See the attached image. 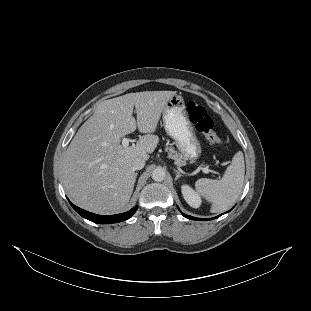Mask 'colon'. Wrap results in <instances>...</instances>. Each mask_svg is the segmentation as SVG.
Here are the masks:
<instances>
[{"mask_svg":"<svg viewBox=\"0 0 311 311\" xmlns=\"http://www.w3.org/2000/svg\"><path fill=\"white\" fill-rule=\"evenodd\" d=\"M186 110L190 121L195 125L196 129L204 135L211 145H219L220 138L215 129L214 122L208 114L206 108L195 101L186 103Z\"/></svg>","mask_w":311,"mask_h":311,"instance_id":"5ec220e1","label":"colon"}]
</instances>
